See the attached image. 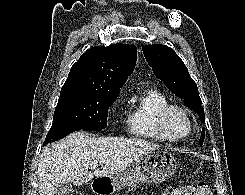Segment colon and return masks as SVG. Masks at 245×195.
I'll use <instances>...</instances> for the list:
<instances>
[{"mask_svg": "<svg viewBox=\"0 0 245 195\" xmlns=\"http://www.w3.org/2000/svg\"><path fill=\"white\" fill-rule=\"evenodd\" d=\"M172 195H212V192L207 184L197 183L179 188Z\"/></svg>", "mask_w": 245, "mask_h": 195, "instance_id": "colon-1", "label": "colon"}]
</instances>
